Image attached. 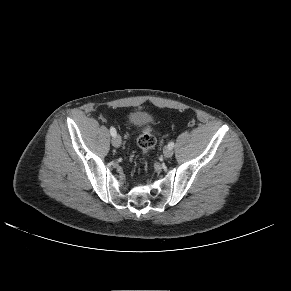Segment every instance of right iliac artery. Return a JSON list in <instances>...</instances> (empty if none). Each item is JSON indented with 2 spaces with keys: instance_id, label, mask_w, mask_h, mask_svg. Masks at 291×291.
I'll return each mask as SVG.
<instances>
[{
  "instance_id": "right-iliac-artery-1",
  "label": "right iliac artery",
  "mask_w": 291,
  "mask_h": 291,
  "mask_svg": "<svg viewBox=\"0 0 291 291\" xmlns=\"http://www.w3.org/2000/svg\"><path fill=\"white\" fill-rule=\"evenodd\" d=\"M110 134L114 137L116 136V129L114 127L110 128Z\"/></svg>"
}]
</instances>
